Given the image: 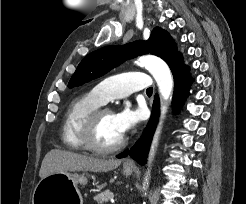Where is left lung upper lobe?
<instances>
[{
    "label": "left lung upper lobe",
    "instance_id": "obj_1",
    "mask_svg": "<svg viewBox=\"0 0 246 204\" xmlns=\"http://www.w3.org/2000/svg\"><path fill=\"white\" fill-rule=\"evenodd\" d=\"M142 54H154L171 68L181 56L174 40L165 30L156 27L147 41H136L123 46H107L88 54L78 65L68 84L69 88L98 78L124 60Z\"/></svg>",
    "mask_w": 246,
    "mask_h": 204
}]
</instances>
